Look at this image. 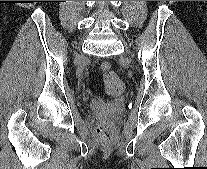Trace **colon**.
Listing matches in <instances>:
<instances>
[{"label":"colon","mask_w":207,"mask_h":169,"mask_svg":"<svg viewBox=\"0 0 207 169\" xmlns=\"http://www.w3.org/2000/svg\"><path fill=\"white\" fill-rule=\"evenodd\" d=\"M103 83L108 95L119 98L123 95L125 85L118 74L111 69L108 63H103ZM96 135L102 142H110L115 137V127L109 120L101 121L96 127Z\"/></svg>","instance_id":"obj_1"}]
</instances>
